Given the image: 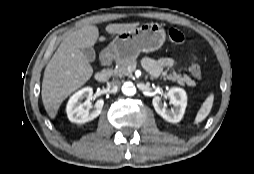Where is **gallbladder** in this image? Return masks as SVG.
Instances as JSON below:
<instances>
[{
    "label": "gallbladder",
    "instance_id": "1",
    "mask_svg": "<svg viewBox=\"0 0 254 174\" xmlns=\"http://www.w3.org/2000/svg\"><path fill=\"white\" fill-rule=\"evenodd\" d=\"M82 53L87 58L88 61L93 62L96 59L95 50L92 47L82 48Z\"/></svg>",
    "mask_w": 254,
    "mask_h": 174
}]
</instances>
